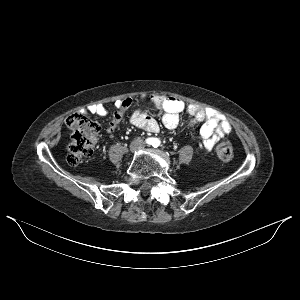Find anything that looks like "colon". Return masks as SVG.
Masks as SVG:
<instances>
[{"label":"colon","mask_w":300,"mask_h":300,"mask_svg":"<svg viewBox=\"0 0 300 300\" xmlns=\"http://www.w3.org/2000/svg\"><path fill=\"white\" fill-rule=\"evenodd\" d=\"M132 105V100L127 98L121 102L120 109L111 121L112 127L119 125L123 119L124 111ZM66 125L71 130L67 145V162L77 166L84 157L92 154L94 143L98 135V124L82 114L74 113L66 118ZM217 154L222 160H230L233 148L229 142L219 144Z\"/></svg>","instance_id":"5ec220e1"}]
</instances>
